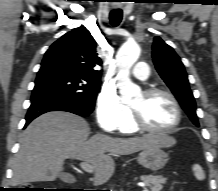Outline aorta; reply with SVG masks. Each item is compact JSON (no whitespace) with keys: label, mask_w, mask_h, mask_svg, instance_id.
<instances>
[{"label":"aorta","mask_w":218,"mask_h":191,"mask_svg":"<svg viewBox=\"0 0 218 191\" xmlns=\"http://www.w3.org/2000/svg\"><path fill=\"white\" fill-rule=\"evenodd\" d=\"M140 47L136 42H126L119 49L116 60L119 69L118 86L121 100L125 104L131 103L132 99L141 92L139 86L135 85L130 79V69L138 60Z\"/></svg>","instance_id":"1"}]
</instances>
